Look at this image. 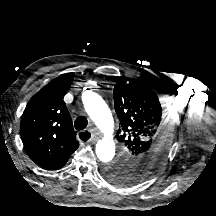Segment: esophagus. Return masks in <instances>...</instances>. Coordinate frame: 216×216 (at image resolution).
<instances>
[{
  "label": "esophagus",
  "mask_w": 216,
  "mask_h": 216,
  "mask_svg": "<svg viewBox=\"0 0 216 216\" xmlns=\"http://www.w3.org/2000/svg\"><path fill=\"white\" fill-rule=\"evenodd\" d=\"M84 132H87V133L90 134V138L87 140V143H89V142H94V141H97V140H98V137L96 136V134L92 133V132L89 131V130H84V131L78 132L77 136H78L79 139H81L80 136H81L82 133H84Z\"/></svg>",
  "instance_id": "esophagus-1"
}]
</instances>
